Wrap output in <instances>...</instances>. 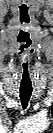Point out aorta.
<instances>
[{"label":"aorta","instance_id":"762f6f07","mask_svg":"<svg viewBox=\"0 0 53 133\" xmlns=\"http://www.w3.org/2000/svg\"><path fill=\"white\" fill-rule=\"evenodd\" d=\"M49 124V120L43 116H35L21 123L22 131L26 133L39 132L45 129Z\"/></svg>","mask_w":53,"mask_h":133}]
</instances>
